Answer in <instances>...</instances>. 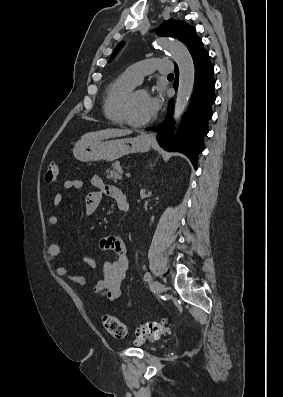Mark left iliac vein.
Wrapping results in <instances>:
<instances>
[{"label": "left iliac vein", "instance_id": "obj_1", "mask_svg": "<svg viewBox=\"0 0 283 397\" xmlns=\"http://www.w3.org/2000/svg\"><path fill=\"white\" fill-rule=\"evenodd\" d=\"M154 290L157 294H161L164 290V286L159 281H155Z\"/></svg>", "mask_w": 283, "mask_h": 397}]
</instances>
